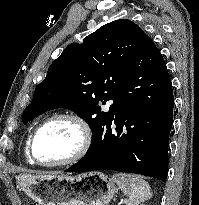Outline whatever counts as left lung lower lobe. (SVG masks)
<instances>
[{
  "label": "left lung lower lobe",
  "instance_id": "obj_1",
  "mask_svg": "<svg viewBox=\"0 0 199 205\" xmlns=\"http://www.w3.org/2000/svg\"><path fill=\"white\" fill-rule=\"evenodd\" d=\"M173 104L166 63L145 34L109 108L110 120L86 155L65 172L114 170L165 181Z\"/></svg>",
  "mask_w": 199,
  "mask_h": 205
}]
</instances>
